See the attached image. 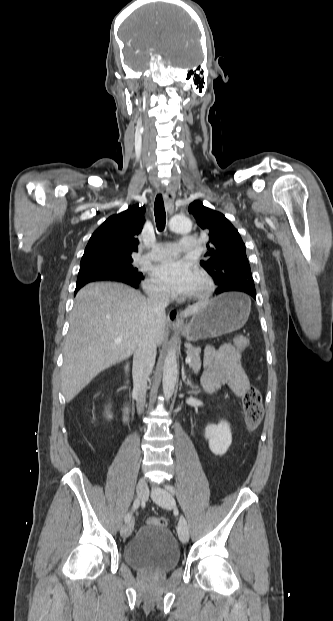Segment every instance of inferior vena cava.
<instances>
[{"label": "inferior vena cava", "mask_w": 333, "mask_h": 621, "mask_svg": "<svg viewBox=\"0 0 333 621\" xmlns=\"http://www.w3.org/2000/svg\"><path fill=\"white\" fill-rule=\"evenodd\" d=\"M150 315L162 318L165 315V308L169 304V294L167 292L153 291L147 299ZM156 340L150 333L140 336L133 356V387L136 394V406L138 414L144 410L147 379L154 367L156 359Z\"/></svg>", "instance_id": "inferior-vena-cava-1"}]
</instances>
